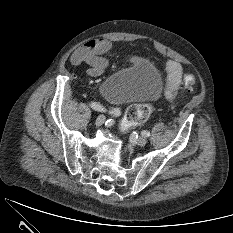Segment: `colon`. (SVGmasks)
I'll use <instances>...</instances> for the list:
<instances>
[{
    "label": "colon",
    "instance_id": "colon-1",
    "mask_svg": "<svg viewBox=\"0 0 233 233\" xmlns=\"http://www.w3.org/2000/svg\"><path fill=\"white\" fill-rule=\"evenodd\" d=\"M194 86V78L190 75L185 76L183 87L192 89ZM153 107L150 104H134L126 110L122 123L123 129H128L145 122L151 115Z\"/></svg>",
    "mask_w": 233,
    "mask_h": 233
}]
</instances>
